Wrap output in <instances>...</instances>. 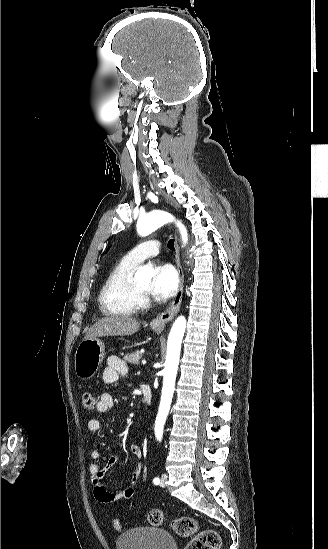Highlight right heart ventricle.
Here are the masks:
<instances>
[{"label":"right heart ventricle","instance_id":"obj_1","mask_svg":"<svg viewBox=\"0 0 328 549\" xmlns=\"http://www.w3.org/2000/svg\"><path fill=\"white\" fill-rule=\"evenodd\" d=\"M139 264L124 255L110 272L99 294L101 319H136L138 310L128 307L136 304L129 295L128 285Z\"/></svg>","mask_w":328,"mask_h":549}]
</instances>
